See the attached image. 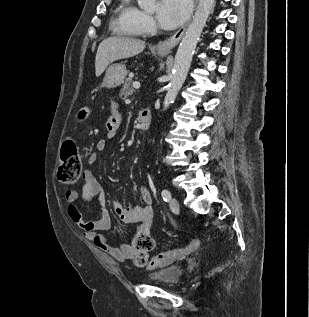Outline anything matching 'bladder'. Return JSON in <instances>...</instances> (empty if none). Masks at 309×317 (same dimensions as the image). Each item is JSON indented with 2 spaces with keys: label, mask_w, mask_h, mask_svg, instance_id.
I'll return each instance as SVG.
<instances>
[{
  "label": "bladder",
  "mask_w": 309,
  "mask_h": 317,
  "mask_svg": "<svg viewBox=\"0 0 309 317\" xmlns=\"http://www.w3.org/2000/svg\"><path fill=\"white\" fill-rule=\"evenodd\" d=\"M182 277V269L177 265H166L148 276V280L165 285H173L180 281Z\"/></svg>",
  "instance_id": "1"
}]
</instances>
